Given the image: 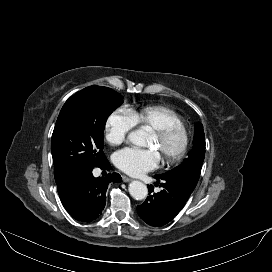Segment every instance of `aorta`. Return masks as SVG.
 <instances>
[{
  "mask_svg": "<svg viewBox=\"0 0 272 272\" xmlns=\"http://www.w3.org/2000/svg\"><path fill=\"white\" fill-rule=\"evenodd\" d=\"M128 139L132 144L137 146H143L145 144V135L141 130L132 131L128 135ZM128 190L130 195L136 200H143L148 195L147 186L137 180H134L129 184Z\"/></svg>",
  "mask_w": 272,
  "mask_h": 272,
  "instance_id": "obj_1",
  "label": "aorta"
}]
</instances>
